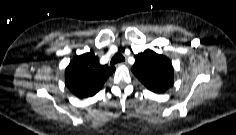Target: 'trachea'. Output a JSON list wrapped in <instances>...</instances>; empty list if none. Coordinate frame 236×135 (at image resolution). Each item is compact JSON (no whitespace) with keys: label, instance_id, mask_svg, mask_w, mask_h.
Segmentation results:
<instances>
[{"label":"trachea","instance_id":"obj_1","mask_svg":"<svg viewBox=\"0 0 236 135\" xmlns=\"http://www.w3.org/2000/svg\"><path fill=\"white\" fill-rule=\"evenodd\" d=\"M125 61V58L124 56L121 54V53H116L112 59H111V64H116V63H119V62H123Z\"/></svg>","mask_w":236,"mask_h":135}]
</instances>
